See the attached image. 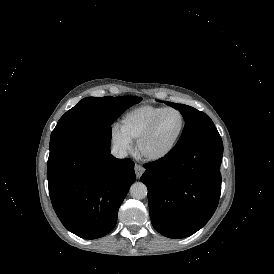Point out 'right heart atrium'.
<instances>
[{
	"label": "right heart atrium",
	"mask_w": 274,
	"mask_h": 274,
	"mask_svg": "<svg viewBox=\"0 0 274 274\" xmlns=\"http://www.w3.org/2000/svg\"><path fill=\"white\" fill-rule=\"evenodd\" d=\"M112 143L124 154L129 153L133 149V144L128 140L118 128H114L111 132Z\"/></svg>",
	"instance_id": "1"
}]
</instances>
